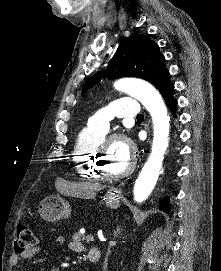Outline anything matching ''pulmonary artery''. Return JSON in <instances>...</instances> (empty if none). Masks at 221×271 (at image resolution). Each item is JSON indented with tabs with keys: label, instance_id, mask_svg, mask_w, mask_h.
<instances>
[{
	"label": "pulmonary artery",
	"instance_id": "obj_1",
	"mask_svg": "<svg viewBox=\"0 0 221 271\" xmlns=\"http://www.w3.org/2000/svg\"><path fill=\"white\" fill-rule=\"evenodd\" d=\"M116 101L110 103L111 107H102V112H96L87 127H109V122H119V117L139 116L138 102H134V98H117ZM79 131V138H98V133H109V128H80Z\"/></svg>",
	"mask_w": 221,
	"mask_h": 271
}]
</instances>
